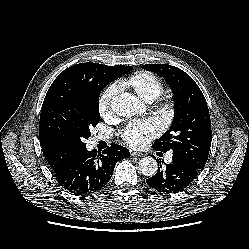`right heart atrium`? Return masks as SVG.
I'll list each match as a JSON object with an SVG mask.
<instances>
[{"label":"right heart atrium","instance_id":"right-heart-atrium-1","mask_svg":"<svg viewBox=\"0 0 249 249\" xmlns=\"http://www.w3.org/2000/svg\"><path fill=\"white\" fill-rule=\"evenodd\" d=\"M117 86L110 84L100 94L97 102L98 113L102 118H108L112 114L111 104L117 93Z\"/></svg>","mask_w":249,"mask_h":249}]
</instances>
